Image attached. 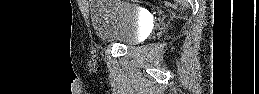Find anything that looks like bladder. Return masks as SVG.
<instances>
[{
  "mask_svg": "<svg viewBox=\"0 0 259 94\" xmlns=\"http://www.w3.org/2000/svg\"><path fill=\"white\" fill-rule=\"evenodd\" d=\"M89 13L95 33L104 42L131 46L140 41L143 19L137 7L115 1H92Z\"/></svg>",
  "mask_w": 259,
  "mask_h": 94,
  "instance_id": "31cf9c89",
  "label": "bladder"
}]
</instances>
